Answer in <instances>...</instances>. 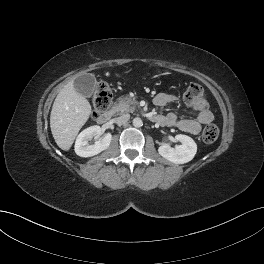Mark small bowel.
<instances>
[{"label":"small bowel","mask_w":264,"mask_h":264,"mask_svg":"<svg viewBox=\"0 0 264 264\" xmlns=\"http://www.w3.org/2000/svg\"><path fill=\"white\" fill-rule=\"evenodd\" d=\"M175 100L176 97L173 95L159 93L154 98V104L158 107H165ZM189 115H191V118L188 119H180L177 113L156 115L158 118L156 122L163 126L175 127L181 131L196 135L201 131L202 126L211 123L214 119L212 112L209 110L189 112Z\"/></svg>","instance_id":"1"}]
</instances>
